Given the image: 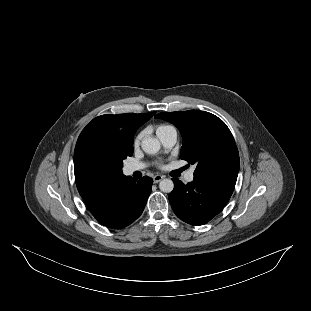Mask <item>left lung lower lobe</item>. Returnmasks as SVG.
<instances>
[{
    "label": "left lung lower lobe",
    "mask_w": 311,
    "mask_h": 311,
    "mask_svg": "<svg viewBox=\"0 0 311 311\" xmlns=\"http://www.w3.org/2000/svg\"><path fill=\"white\" fill-rule=\"evenodd\" d=\"M172 180L171 207L177 217L191 225H203L215 217L230 199L236 184L231 178H194L187 185Z\"/></svg>",
    "instance_id": "1"
}]
</instances>
